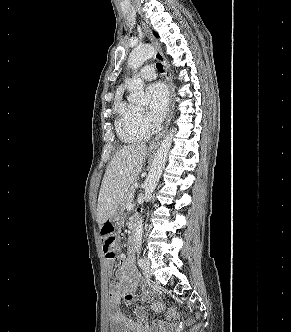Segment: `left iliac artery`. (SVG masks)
<instances>
[{
    "label": "left iliac artery",
    "mask_w": 291,
    "mask_h": 332,
    "mask_svg": "<svg viewBox=\"0 0 291 332\" xmlns=\"http://www.w3.org/2000/svg\"><path fill=\"white\" fill-rule=\"evenodd\" d=\"M138 265L142 268L145 266V262L142 258L138 259Z\"/></svg>",
    "instance_id": "obj_1"
}]
</instances>
